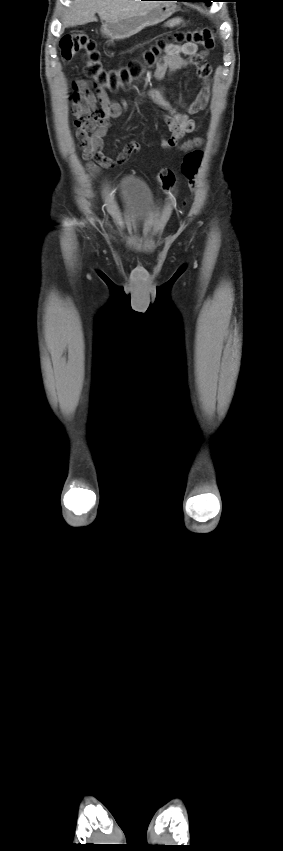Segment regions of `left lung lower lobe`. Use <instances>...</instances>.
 Returning <instances> with one entry per match:
<instances>
[{
	"mask_svg": "<svg viewBox=\"0 0 283 851\" xmlns=\"http://www.w3.org/2000/svg\"><path fill=\"white\" fill-rule=\"evenodd\" d=\"M177 1H196V0H177Z\"/></svg>",
	"mask_w": 283,
	"mask_h": 851,
	"instance_id": "1",
	"label": "left lung lower lobe"
}]
</instances>
